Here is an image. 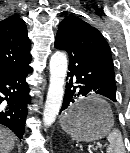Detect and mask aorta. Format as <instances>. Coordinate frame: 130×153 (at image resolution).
<instances>
[{
    "instance_id": "762f6f07",
    "label": "aorta",
    "mask_w": 130,
    "mask_h": 153,
    "mask_svg": "<svg viewBox=\"0 0 130 153\" xmlns=\"http://www.w3.org/2000/svg\"><path fill=\"white\" fill-rule=\"evenodd\" d=\"M50 85L43 112V122L46 127L52 125L59 114L64 83L67 74V56L64 52H55L50 59Z\"/></svg>"
}]
</instances>
